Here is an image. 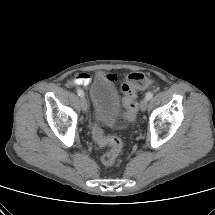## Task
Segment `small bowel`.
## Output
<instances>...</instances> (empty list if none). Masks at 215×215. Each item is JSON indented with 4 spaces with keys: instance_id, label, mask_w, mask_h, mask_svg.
I'll use <instances>...</instances> for the list:
<instances>
[{
    "instance_id": "c3829d8e",
    "label": "small bowel",
    "mask_w": 215,
    "mask_h": 215,
    "mask_svg": "<svg viewBox=\"0 0 215 215\" xmlns=\"http://www.w3.org/2000/svg\"><path fill=\"white\" fill-rule=\"evenodd\" d=\"M109 77L111 79H114L115 77L113 75H109ZM91 81V77L90 75H88L87 73H80L78 75H76L72 80L71 83L74 85H78V86H87L89 85Z\"/></svg>"
}]
</instances>
